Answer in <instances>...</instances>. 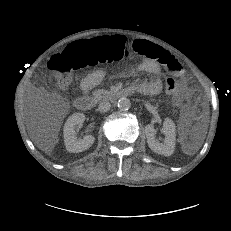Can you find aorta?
<instances>
[{"mask_svg": "<svg viewBox=\"0 0 231 231\" xmlns=\"http://www.w3.org/2000/svg\"><path fill=\"white\" fill-rule=\"evenodd\" d=\"M117 105L120 110L125 111L131 107V102L128 98L122 97L118 100Z\"/></svg>", "mask_w": 231, "mask_h": 231, "instance_id": "obj_1", "label": "aorta"}]
</instances>
